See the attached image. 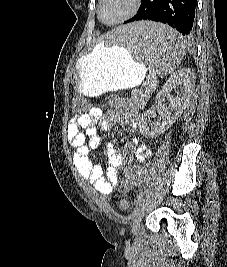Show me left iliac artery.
Masks as SVG:
<instances>
[{"label":"left iliac artery","mask_w":227,"mask_h":267,"mask_svg":"<svg viewBox=\"0 0 227 267\" xmlns=\"http://www.w3.org/2000/svg\"><path fill=\"white\" fill-rule=\"evenodd\" d=\"M143 192H140V194L138 195L137 201H136V206L140 205L142 199H143Z\"/></svg>","instance_id":"1"}]
</instances>
